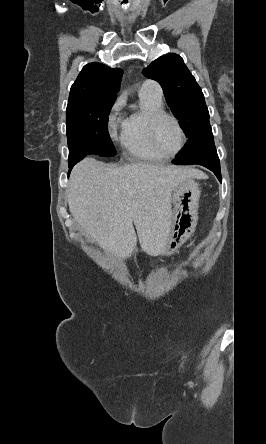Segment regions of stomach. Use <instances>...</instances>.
Returning <instances> with one entry per match:
<instances>
[{
	"label": "stomach",
	"instance_id": "stomach-1",
	"mask_svg": "<svg viewBox=\"0 0 266 444\" xmlns=\"http://www.w3.org/2000/svg\"><path fill=\"white\" fill-rule=\"evenodd\" d=\"M199 198V185L192 179L180 183L173 190L172 203L174 207L169 226V236L163 253L173 250L172 243L178 242L179 245L195 228L198 218Z\"/></svg>",
	"mask_w": 266,
	"mask_h": 444
}]
</instances>
